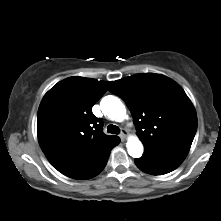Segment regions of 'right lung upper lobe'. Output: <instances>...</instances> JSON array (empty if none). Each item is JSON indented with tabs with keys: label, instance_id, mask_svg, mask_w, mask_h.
Returning <instances> with one entry per match:
<instances>
[{
	"label": "right lung upper lobe",
	"instance_id": "right-lung-upper-lobe-1",
	"mask_svg": "<svg viewBox=\"0 0 221 221\" xmlns=\"http://www.w3.org/2000/svg\"><path fill=\"white\" fill-rule=\"evenodd\" d=\"M110 81L69 77L43 97L37 117L41 149L60 172L84 165L119 140L102 131V119L92 113Z\"/></svg>",
	"mask_w": 221,
	"mask_h": 221
}]
</instances>
